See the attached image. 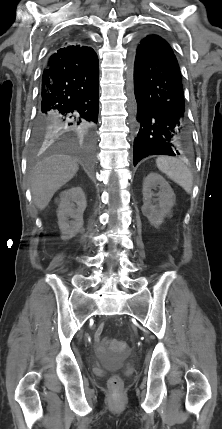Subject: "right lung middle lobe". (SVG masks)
Wrapping results in <instances>:
<instances>
[{"mask_svg": "<svg viewBox=\"0 0 222 429\" xmlns=\"http://www.w3.org/2000/svg\"><path fill=\"white\" fill-rule=\"evenodd\" d=\"M54 135L53 132L38 128L33 131V146L37 148Z\"/></svg>", "mask_w": 222, "mask_h": 429, "instance_id": "1", "label": "right lung middle lobe"}]
</instances>
